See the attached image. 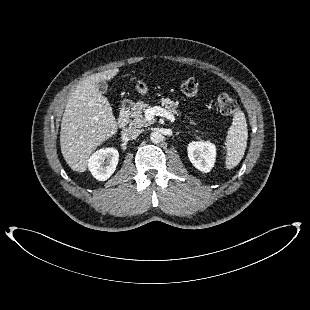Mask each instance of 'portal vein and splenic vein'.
<instances>
[{"label":"portal vein and splenic vein","instance_id":"obj_1","mask_svg":"<svg viewBox=\"0 0 310 310\" xmlns=\"http://www.w3.org/2000/svg\"><path fill=\"white\" fill-rule=\"evenodd\" d=\"M161 116L164 117L171 122L175 121V117L172 113L168 112L166 109L161 108L159 106L150 107L145 110V118L146 120L150 121L154 118V116Z\"/></svg>","mask_w":310,"mask_h":310}]
</instances>
